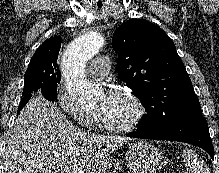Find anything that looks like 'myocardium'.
Wrapping results in <instances>:
<instances>
[{
  "label": "myocardium",
  "instance_id": "myocardium-1",
  "mask_svg": "<svg viewBox=\"0 0 219 173\" xmlns=\"http://www.w3.org/2000/svg\"><path fill=\"white\" fill-rule=\"evenodd\" d=\"M113 93H118V94H122L126 96L133 103L135 107V115L129 123L125 125H121V126H116V125L107 123L100 115V122H101L102 127L106 129L107 131L117 133V134L130 133L136 130L142 123L145 117V114H146V109H145V106L142 100L131 89L127 87H123V86L115 88L113 90Z\"/></svg>",
  "mask_w": 219,
  "mask_h": 173
}]
</instances>
